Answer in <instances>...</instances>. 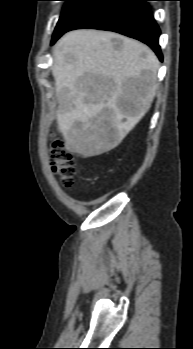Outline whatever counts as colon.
<instances>
[{
  "mask_svg": "<svg viewBox=\"0 0 193 349\" xmlns=\"http://www.w3.org/2000/svg\"><path fill=\"white\" fill-rule=\"evenodd\" d=\"M52 170L58 174L62 185L70 189L74 184L76 163L74 155L66 148L62 139L54 138L49 148Z\"/></svg>",
  "mask_w": 193,
  "mask_h": 349,
  "instance_id": "1",
  "label": "colon"
}]
</instances>
